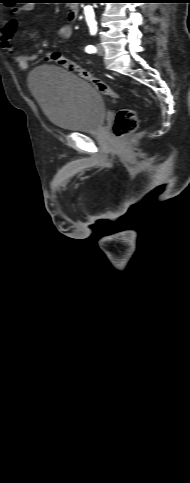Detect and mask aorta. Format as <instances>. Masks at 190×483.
Wrapping results in <instances>:
<instances>
[{"label": "aorta", "mask_w": 190, "mask_h": 483, "mask_svg": "<svg viewBox=\"0 0 190 483\" xmlns=\"http://www.w3.org/2000/svg\"><path fill=\"white\" fill-rule=\"evenodd\" d=\"M84 13H85V17L88 21L94 19V11H93V8H92L91 5L85 6Z\"/></svg>", "instance_id": "obj_1"}]
</instances>
